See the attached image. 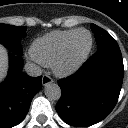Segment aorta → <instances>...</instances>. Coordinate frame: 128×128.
Returning <instances> with one entry per match:
<instances>
[{
  "label": "aorta",
  "instance_id": "762f6f07",
  "mask_svg": "<svg viewBox=\"0 0 128 128\" xmlns=\"http://www.w3.org/2000/svg\"><path fill=\"white\" fill-rule=\"evenodd\" d=\"M44 93L49 100L57 101L61 98V88L55 83H47Z\"/></svg>",
  "mask_w": 128,
  "mask_h": 128
}]
</instances>
